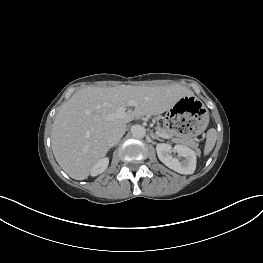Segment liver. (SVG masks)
<instances>
[{
  "instance_id": "obj_1",
  "label": "liver",
  "mask_w": 263,
  "mask_h": 263,
  "mask_svg": "<svg viewBox=\"0 0 263 263\" xmlns=\"http://www.w3.org/2000/svg\"><path fill=\"white\" fill-rule=\"evenodd\" d=\"M193 95L180 85L116 87L88 86L80 89L57 112L51 131L54 157L73 179H86L92 167L109 150L111 131L122 128L135 118L167 111L179 99ZM136 102L124 118L109 119L118 107Z\"/></svg>"
}]
</instances>
